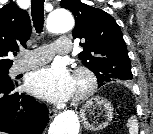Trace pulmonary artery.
I'll return each instance as SVG.
<instances>
[{"mask_svg":"<svg viewBox=\"0 0 153 134\" xmlns=\"http://www.w3.org/2000/svg\"><path fill=\"white\" fill-rule=\"evenodd\" d=\"M70 50L71 40L67 37H60L53 44L43 45L24 52L23 58L14 64L13 71L20 73L36 68L50 61L56 53L67 54Z\"/></svg>","mask_w":153,"mask_h":134,"instance_id":"pulmonary-artery-1","label":"pulmonary artery"}]
</instances>
